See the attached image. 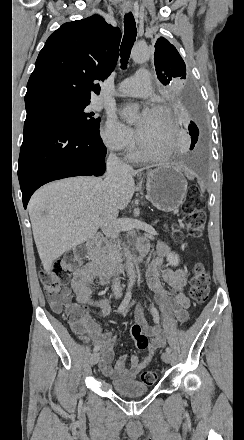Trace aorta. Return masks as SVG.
<instances>
[{
  "mask_svg": "<svg viewBox=\"0 0 244 440\" xmlns=\"http://www.w3.org/2000/svg\"><path fill=\"white\" fill-rule=\"evenodd\" d=\"M150 50L146 47H136L132 51V58L135 62L142 63L149 59L150 57ZM136 113H137V107L136 106H125L123 110V118L128 122L131 123L136 119ZM125 252V258H126V265H127V273H128V279H129V285H133L135 283L136 279V271L135 266L133 262V257L131 253L129 252L127 246L124 247Z\"/></svg>",
  "mask_w": 244,
  "mask_h": 440,
  "instance_id": "obj_1",
  "label": "aorta"
}]
</instances>
